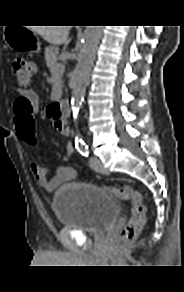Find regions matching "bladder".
Listing matches in <instances>:
<instances>
[{"instance_id":"bladder-1","label":"bladder","mask_w":184,"mask_h":292,"mask_svg":"<svg viewBox=\"0 0 184 292\" xmlns=\"http://www.w3.org/2000/svg\"><path fill=\"white\" fill-rule=\"evenodd\" d=\"M53 211L61 226L85 233H101L119 215L114 196L96 185L68 183L55 192Z\"/></svg>"}]
</instances>
